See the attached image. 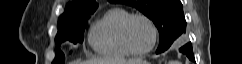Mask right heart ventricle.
<instances>
[{
    "instance_id": "1",
    "label": "right heart ventricle",
    "mask_w": 242,
    "mask_h": 64,
    "mask_svg": "<svg viewBox=\"0 0 242 64\" xmlns=\"http://www.w3.org/2000/svg\"><path fill=\"white\" fill-rule=\"evenodd\" d=\"M130 13L123 8L108 10L96 21L89 32V43L98 54L110 58H125L131 54L122 44L120 31Z\"/></svg>"
}]
</instances>
